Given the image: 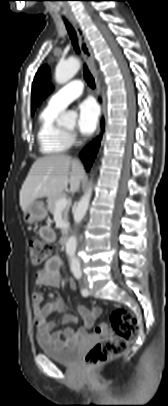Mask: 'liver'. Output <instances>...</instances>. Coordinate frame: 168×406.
<instances>
[{"mask_svg":"<svg viewBox=\"0 0 168 406\" xmlns=\"http://www.w3.org/2000/svg\"><path fill=\"white\" fill-rule=\"evenodd\" d=\"M83 176V167L70 156L53 154L38 158L20 190L22 211H26L38 198L60 195L68 184L71 192H76Z\"/></svg>","mask_w":168,"mask_h":406,"instance_id":"obj_1","label":"liver"}]
</instances>
